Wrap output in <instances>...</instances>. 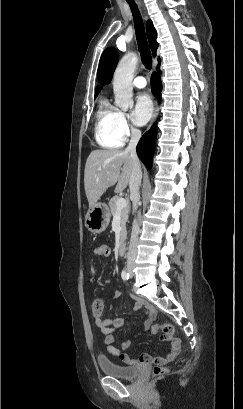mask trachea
Returning <instances> with one entry per match:
<instances>
[{
	"label": "trachea",
	"mask_w": 243,
	"mask_h": 409,
	"mask_svg": "<svg viewBox=\"0 0 243 409\" xmlns=\"http://www.w3.org/2000/svg\"><path fill=\"white\" fill-rule=\"evenodd\" d=\"M128 3L131 7L133 18H134L136 39H137L138 49L140 52L142 63L146 69L150 70L152 68V56H151V52H150L147 38L145 35L144 24H143V21H142L137 5L132 1H128Z\"/></svg>",
	"instance_id": "obj_1"
}]
</instances>
